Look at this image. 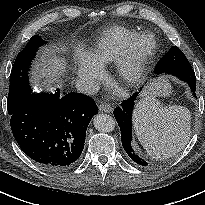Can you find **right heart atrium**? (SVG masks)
Here are the masks:
<instances>
[{"label": "right heart atrium", "instance_id": "d8ad5b80", "mask_svg": "<svg viewBox=\"0 0 205 205\" xmlns=\"http://www.w3.org/2000/svg\"><path fill=\"white\" fill-rule=\"evenodd\" d=\"M73 61L77 66L79 79L91 89L96 84L95 71L96 66L90 57L81 49H76L72 55Z\"/></svg>", "mask_w": 205, "mask_h": 205}]
</instances>
